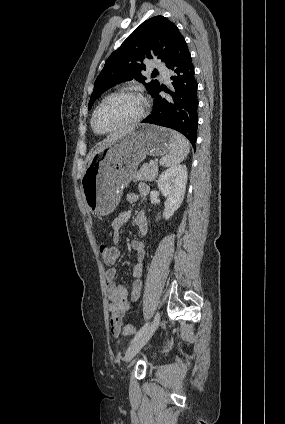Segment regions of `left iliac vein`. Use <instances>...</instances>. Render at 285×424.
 <instances>
[{"label": "left iliac vein", "instance_id": "left-iliac-vein-1", "mask_svg": "<svg viewBox=\"0 0 285 424\" xmlns=\"http://www.w3.org/2000/svg\"><path fill=\"white\" fill-rule=\"evenodd\" d=\"M160 322V313L157 312L152 323L145 330V332L131 345L127 354H126V362H130L134 356L141 350V348L148 342V340L152 337L154 332L156 331Z\"/></svg>", "mask_w": 285, "mask_h": 424}]
</instances>
